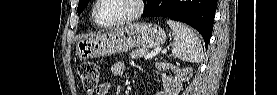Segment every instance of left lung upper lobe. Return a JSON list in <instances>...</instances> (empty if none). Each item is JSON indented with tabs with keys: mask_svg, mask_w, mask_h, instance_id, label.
<instances>
[{
	"mask_svg": "<svg viewBox=\"0 0 277 95\" xmlns=\"http://www.w3.org/2000/svg\"><path fill=\"white\" fill-rule=\"evenodd\" d=\"M89 0H79V5H78V14H80L84 9L85 7L87 6ZM151 2V0H147V5ZM147 5L145 7H147Z\"/></svg>",
	"mask_w": 277,
	"mask_h": 95,
	"instance_id": "obj_1",
	"label": "left lung upper lobe"
}]
</instances>
